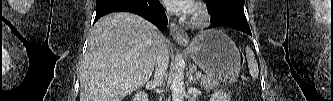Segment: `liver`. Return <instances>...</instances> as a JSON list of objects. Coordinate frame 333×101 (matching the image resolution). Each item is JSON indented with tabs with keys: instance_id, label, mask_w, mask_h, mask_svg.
Here are the masks:
<instances>
[{
	"instance_id": "1",
	"label": "liver",
	"mask_w": 333,
	"mask_h": 101,
	"mask_svg": "<svg viewBox=\"0 0 333 101\" xmlns=\"http://www.w3.org/2000/svg\"><path fill=\"white\" fill-rule=\"evenodd\" d=\"M163 34L146 19L112 13L96 22L80 69V101H122L150 79Z\"/></svg>"
}]
</instances>
